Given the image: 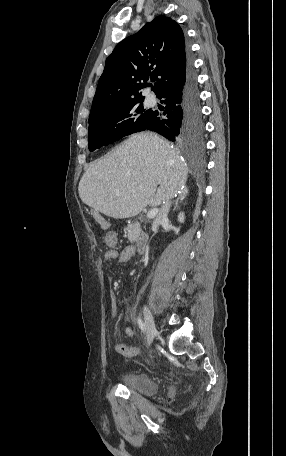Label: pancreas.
<instances>
[{"instance_id": "cf45deb5", "label": "pancreas", "mask_w": 286, "mask_h": 456, "mask_svg": "<svg viewBox=\"0 0 286 456\" xmlns=\"http://www.w3.org/2000/svg\"><path fill=\"white\" fill-rule=\"evenodd\" d=\"M125 230L128 232V240L130 243H138L143 236V232L140 228V224L138 222H134L129 224Z\"/></svg>"}]
</instances>
